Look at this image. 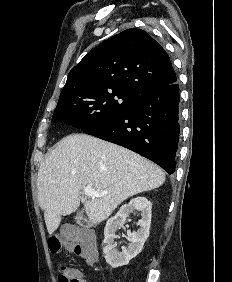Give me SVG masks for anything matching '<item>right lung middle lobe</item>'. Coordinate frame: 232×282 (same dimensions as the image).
Instances as JSON below:
<instances>
[{
  "label": "right lung middle lobe",
  "mask_w": 232,
  "mask_h": 282,
  "mask_svg": "<svg viewBox=\"0 0 232 282\" xmlns=\"http://www.w3.org/2000/svg\"><path fill=\"white\" fill-rule=\"evenodd\" d=\"M139 95L126 91L80 94L59 101L52 122H63L86 130L104 124L133 109Z\"/></svg>",
  "instance_id": "right-lung-middle-lobe-1"
}]
</instances>
